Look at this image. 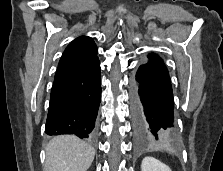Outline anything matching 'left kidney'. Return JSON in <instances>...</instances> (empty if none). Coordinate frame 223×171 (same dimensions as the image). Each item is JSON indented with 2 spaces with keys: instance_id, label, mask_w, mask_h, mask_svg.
Returning a JSON list of instances; mask_svg holds the SVG:
<instances>
[{
  "instance_id": "obj_1",
  "label": "left kidney",
  "mask_w": 223,
  "mask_h": 171,
  "mask_svg": "<svg viewBox=\"0 0 223 171\" xmlns=\"http://www.w3.org/2000/svg\"><path fill=\"white\" fill-rule=\"evenodd\" d=\"M141 171H172V170L159 160L147 156L142 160Z\"/></svg>"
}]
</instances>
